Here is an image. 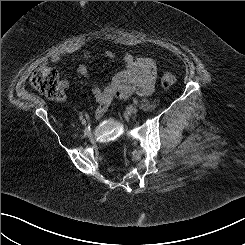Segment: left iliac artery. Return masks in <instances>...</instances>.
Listing matches in <instances>:
<instances>
[{"instance_id": "left-iliac-artery-1", "label": "left iliac artery", "mask_w": 245, "mask_h": 245, "mask_svg": "<svg viewBox=\"0 0 245 245\" xmlns=\"http://www.w3.org/2000/svg\"><path fill=\"white\" fill-rule=\"evenodd\" d=\"M133 103L137 105L138 104V100L137 99H133Z\"/></svg>"}]
</instances>
